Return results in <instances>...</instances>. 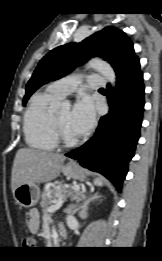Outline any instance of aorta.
<instances>
[{
	"instance_id": "762f6f07",
	"label": "aorta",
	"mask_w": 162,
	"mask_h": 261,
	"mask_svg": "<svg viewBox=\"0 0 162 261\" xmlns=\"http://www.w3.org/2000/svg\"><path fill=\"white\" fill-rule=\"evenodd\" d=\"M89 66L97 71H99L105 78L106 80L111 83V85L114 87L115 82H116V75L113 70V68L105 61L99 59V58H94L89 61ZM61 106L68 107L69 102L65 101L61 104Z\"/></svg>"
}]
</instances>
